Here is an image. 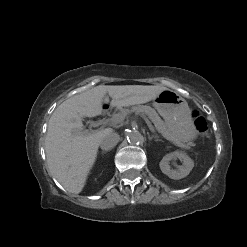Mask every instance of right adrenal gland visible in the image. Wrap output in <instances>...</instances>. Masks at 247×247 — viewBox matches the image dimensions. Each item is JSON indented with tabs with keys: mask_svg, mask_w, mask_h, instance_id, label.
<instances>
[{
	"mask_svg": "<svg viewBox=\"0 0 247 247\" xmlns=\"http://www.w3.org/2000/svg\"><path fill=\"white\" fill-rule=\"evenodd\" d=\"M105 153H106L105 151L102 152V154H105Z\"/></svg>",
	"mask_w": 247,
	"mask_h": 247,
	"instance_id": "1",
	"label": "right adrenal gland"
}]
</instances>
